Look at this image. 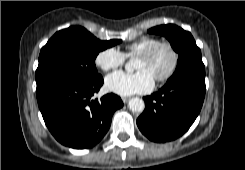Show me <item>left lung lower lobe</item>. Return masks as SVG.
<instances>
[{"label": "left lung lower lobe", "instance_id": "0a47b994", "mask_svg": "<svg viewBox=\"0 0 245 170\" xmlns=\"http://www.w3.org/2000/svg\"><path fill=\"white\" fill-rule=\"evenodd\" d=\"M205 76L181 75L144 97L138 117L140 131L151 141L167 142L182 136L198 116L205 96Z\"/></svg>", "mask_w": 245, "mask_h": 170}]
</instances>
